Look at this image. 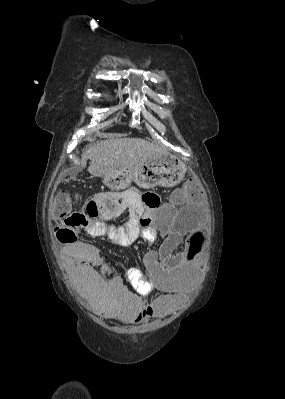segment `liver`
<instances>
[{
	"mask_svg": "<svg viewBox=\"0 0 285 399\" xmlns=\"http://www.w3.org/2000/svg\"><path fill=\"white\" fill-rule=\"evenodd\" d=\"M159 146L139 138H114L97 142L82 154L80 166L91 160L88 172L96 177H105L119 171L131 169L144 161L164 154Z\"/></svg>",
	"mask_w": 285,
	"mask_h": 399,
	"instance_id": "6515ba94",
	"label": "liver"
}]
</instances>
